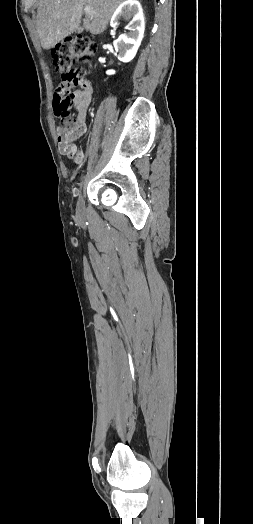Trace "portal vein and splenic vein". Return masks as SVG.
<instances>
[{
	"instance_id": "1",
	"label": "portal vein and splenic vein",
	"mask_w": 253,
	"mask_h": 524,
	"mask_svg": "<svg viewBox=\"0 0 253 524\" xmlns=\"http://www.w3.org/2000/svg\"><path fill=\"white\" fill-rule=\"evenodd\" d=\"M84 12H85V14H87V15H93V14H94V12H93V10H92V8H91L90 6H86V7L84 8Z\"/></svg>"
}]
</instances>
